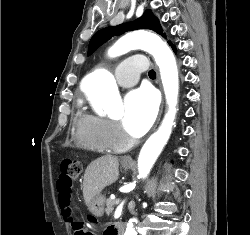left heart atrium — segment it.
<instances>
[{
	"label": "left heart atrium",
	"instance_id": "1",
	"mask_svg": "<svg viewBox=\"0 0 250 235\" xmlns=\"http://www.w3.org/2000/svg\"><path fill=\"white\" fill-rule=\"evenodd\" d=\"M156 113L154 92L147 87L135 89L124 99L123 126L130 135L140 137L150 128Z\"/></svg>",
	"mask_w": 250,
	"mask_h": 235
}]
</instances>
